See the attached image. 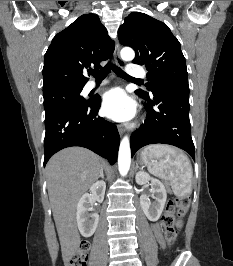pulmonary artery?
Returning <instances> with one entry per match:
<instances>
[{
	"mask_svg": "<svg viewBox=\"0 0 233 266\" xmlns=\"http://www.w3.org/2000/svg\"><path fill=\"white\" fill-rule=\"evenodd\" d=\"M127 72L129 73L130 76H132L134 78H144L146 76L144 71L140 70L136 65H133V64L128 66ZM107 83H108L107 80H103L99 83H97L95 81H91V82L87 83L85 88L87 91H90V90H92L98 86H102V85H105Z\"/></svg>",
	"mask_w": 233,
	"mask_h": 266,
	"instance_id": "e3ab8cb5",
	"label": "pulmonary artery"
}]
</instances>
